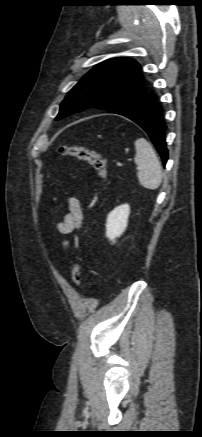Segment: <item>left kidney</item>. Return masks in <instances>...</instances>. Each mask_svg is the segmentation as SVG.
I'll use <instances>...</instances> for the list:
<instances>
[{"mask_svg": "<svg viewBox=\"0 0 202 437\" xmlns=\"http://www.w3.org/2000/svg\"><path fill=\"white\" fill-rule=\"evenodd\" d=\"M129 214L128 204L120 205L109 213L106 221V237L113 243L127 228Z\"/></svg>", "mask_w": 202, "mask_h": 437, "instance_id": "left-kidney-1", "label": "left kidney"}]
</instances>
